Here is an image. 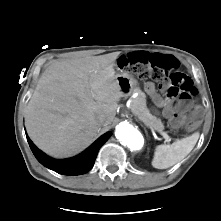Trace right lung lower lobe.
Here are the masks:
<instances>
[{"label": "right lung lower lobe", "mask_w": 221, "mask_h": 221, "mask_svg": "<svg viewBox=\"0 0 221 221\" xmlns=\"http://www.w3.org/2000/svg\"><path fill=\"white\" fill-rule=\"evenodd\" d=\"M110 135V132L105 133L81 154L62 160L52 159L45 155L33 144L27 134L26 137L33 154L45 167L63 175H81L93 167L100 147L108 140Z\"/></svg>", "instance_id": "obj_1"}]
</instances>
